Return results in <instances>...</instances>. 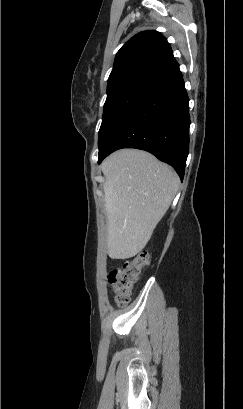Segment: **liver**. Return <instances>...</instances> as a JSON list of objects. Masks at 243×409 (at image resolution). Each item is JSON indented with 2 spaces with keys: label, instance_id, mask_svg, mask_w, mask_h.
Masks as SVG:
<instances>
[{
  "label": "liver",
  "instance_id": "obj_1",
  "mask_svg": "<svg viewBox=\"0 0 243 409\" xmlns=\"http://www.w3.org/2000/svg\"><path fill=\"white\" fill-rule=\"evenodd\" d=\"M101 169L107 253L112 259L132 258L145 247L170 207L179 177L169 165L137 149L114 152Z\"/></svg>",
  "mask_w": 243,
  "mask_h": 409
}]
</instances>
